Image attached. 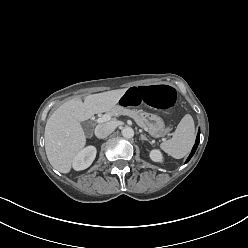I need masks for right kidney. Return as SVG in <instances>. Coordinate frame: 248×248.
Wrapping results in <instances>:
<instances>
[{"instance_id":"1","label":"right kidney","mask_w":248,"mask_h":248,"mask_svg":"<svg viewBox=\"0 0 248 248\" xmlns=\"http://www.w3.org/2000/svg\"><path fill=\"white\" fill-rule=\"evenodd\" d=\"M96 148L94 146H88L81 150L73 160V168L76 171L84 170L88 168L96 157Z\"/></svg>"}]
</instances>
